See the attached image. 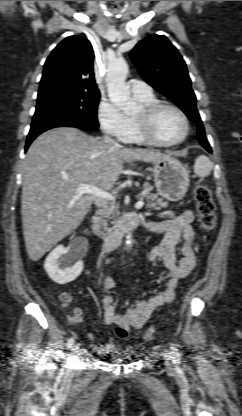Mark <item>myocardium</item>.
<instances>
[{
    "mask_svg": "<svg viewBox=\"0 0 242 416\" xmlns=\"http://www.w3.org/2000/svg\"><path fill=\"white\" fill-rule=\"evenodd\" d=\"M163 108H169L175 111L183 121L184 124V131L182 136L174 141H164L161 140L156 136L152 128V122L154 116ZM135 123L137 125L138 132L141 138L148 144L156 145V146H174L181 144L185 141L189 134L190 125L189 120L185 112L179 108L178 106L166 102V101H155L150 104H145L142 108V115L139 117H135Z\"/></svg>",
    "mask_w": 242,
    "mask_h": 416,
    "instance_id": "myocardium-1",
    "label": "myocardium"
}]
</instances>
